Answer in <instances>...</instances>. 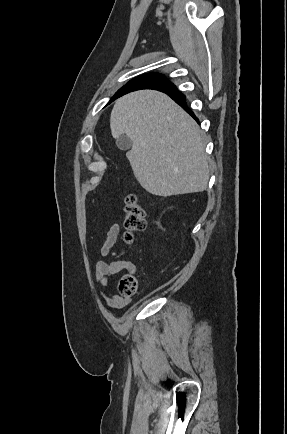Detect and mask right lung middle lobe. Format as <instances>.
<instances>
[{"label":"right lung middle lobe","instance_id":"obj_1","mask_svg":"<svg viewBox=\"0 0 287 434\" xmlns=\"http://www.w3.org/2000/svg\"><path fill=\"white\" fill-rule=\"evenodd\" d=\"M168 81L164 75L158 73H148L141 75L135 79L129 81L124 87H122L112 98L111 101L123 95V92L129 88L137 86H150L155 84H160ZM110 101V102H111Z\"/></svg>","mask_w":287,"mask_h":434}]
</instances>
